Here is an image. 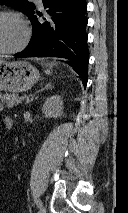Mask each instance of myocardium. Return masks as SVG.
I'll list each match as a JSON object with an SVG mask.
<instances>
[{
    "label": "myocardium",
    "instance_id": "1",
    "mask_svg": "<svg viewBox=\"0 0 128 213\" xmlns=\"http://www.w3.org/2000/svg\"><path fill=\"white\" fill-rule=\"evenodd\" d=\"M0 16H12L16 18L22 25L23 27V38L21 42L14 48L11 49H5V50H0V55H11V54H16L25 49V47L28 45L31 37V29L29 26V23L27 19L24 17V15L16 10L12 9H3L0 10Z\"/></svg>",
    "mask_w": 128,
    "mask_h": 213
}]
</instances>
